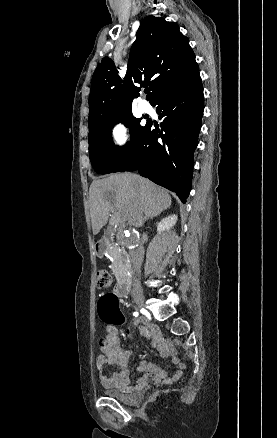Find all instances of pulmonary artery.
I'll use <instances>...</instances> for the list:
<instances>
[{"label":"pulmonary artery","mask_w":277,"mask_h":438,"mask_svg":"<svg viewBox=\"0 0 277 438\" xmlns=\"http://www.w3.org/2000/svg\"><path fill=\"white\" fill-rule=\"evenodd\" d=\"M141 105H142L143 111L145 112V111H146V105H145V103L142 102Z\"/></svg>","instance_id":"e3ab8cb5"}]
</instances>
